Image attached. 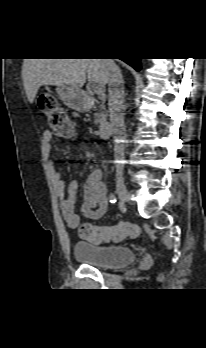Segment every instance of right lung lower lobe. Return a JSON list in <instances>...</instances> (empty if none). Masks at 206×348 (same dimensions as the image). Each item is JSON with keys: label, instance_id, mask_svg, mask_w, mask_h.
Returning a JSON list of instances; mask_svg holds the SVG:
<instances>
[{"label": "right lung lower lobe", "instance_id": "obj_1", "mask_svg": "<svg viewBox=\"0 0 206 348\" xmlns=\"http://www.w3.org/2000/svg\"><path fill=\"white\" fill-rule=\"evenodd\" d=\"M122 60L125 61L126 63H128L129 65H131L137 71H139L141 68L139 58H129V59H122Z\"/></svg>", "mask_w": 206, "mask_h": 348}]
</instances>
